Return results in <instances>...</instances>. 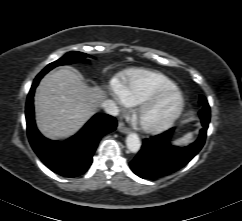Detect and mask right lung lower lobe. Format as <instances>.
Returning a JSON list of instances; mask_svg holds the SVG:
<instances>
[{
    "label": "right lung lower lobe",
    "instance_id": "right-lung-lower-lobe-1",
    "mask_svg": "<svg viewBox=\"0 0 242 221\" xmlns=\"http://www.w3.org/2000/svg\"><path fill=\"white\" fill-rule=\"evenodd\" d=\"M44 75L38 74L27 97L25 112L30 144L38 157L52 171L64 177L80 176L92 164V157L100 138L115 130L116 119L107 114H96L68 140L57 142L46 139L36 128L33 108L34 90Z\"/></svg>",
    "mask_w": 242,
    "mask_h": 221
}]
</instances>
